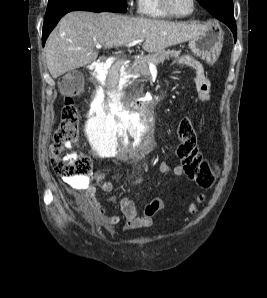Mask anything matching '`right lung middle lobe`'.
Instances as JSON below:
<instances>
[{
    "label": "right lung middle lobe",
    "mask_w": 267,
    "mask_h": 298,
    "mask_svg": "<svg viewBox=\"0 0 267 298\" xmlns=\"http://www.w3.org/2000/svg\"><path fill=\"white\" fill-rule=\"evenodd\" d=\"M75 5H87L109 12L125 13L127 11L126 0H49L44 20H48L56 13Z\"/></svg>",
    "instance_id": "dd1d6c3e"
}]
</instances>
